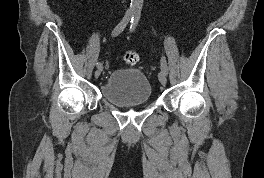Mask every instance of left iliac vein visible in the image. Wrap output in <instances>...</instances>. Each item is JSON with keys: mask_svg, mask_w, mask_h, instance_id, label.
Here are the masks:
<instances>
[{"mask_svg": "<svg viewBox=\"0 0 264 178\" xmlns=\"http://www.w3.org/2000/svg\"><path fill=\"white\" fill-rule=\"evenodd\" d=\"M159 81L162 85H165L167 82V74L164 71H160L158 74Z\"/></svg>", "mask_w": 264, "mask_h": 178, "instance_id": "4c4485c4", "label": "left iliac vein"}]
</instances>
